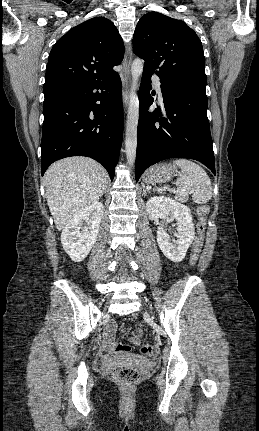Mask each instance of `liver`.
<instances>
[{"label": "liver", "instance_id": "6515ba94", "mask_svg": "<svg viewBox=\"0 0 259 431\" xmlns=\"http://www.w3.org/2000/svg\"><path fill=\"white\" fill-rule=\"evenodd\" d=\"M44 185L55 226L62 230L74 215L100 199L107 185V176L105 169L95 160L69 157L48 168Z\"/></svg>", "mask_w": 259, "mask_h": 431}]
</instances>
